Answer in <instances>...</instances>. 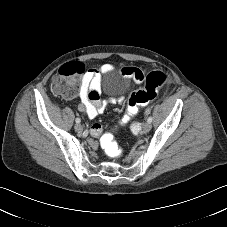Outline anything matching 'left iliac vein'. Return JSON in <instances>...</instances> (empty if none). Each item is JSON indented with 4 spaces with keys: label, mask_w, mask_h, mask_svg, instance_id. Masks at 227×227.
Here are the masks:
<instances>
[{
    "label": "left iliac vein",
    "mask_w": 227,
    "mask_h": 227,
    "mask_svg": "<svg viewBox=\"0 0 227 227\" xmlns=\"http://www.w3.org/2000/svg\"><path fill=\"white\" fill-rule=\"evenodd\" d=\"M151 123H149V122H146L144 125H143V127H142V131L144 132V133H147V132H149L150 130H151Z\"/></svg>",
    "instance_id": "4c4485c4"
}]
</instances>
